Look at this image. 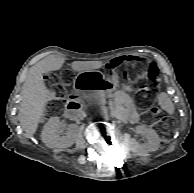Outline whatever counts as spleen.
<instances>
[{"mask_svg":"<svg viewBox=\"0 0 194 193\" xmlns=\"http://www.w3.org/2000/svg\"><path fill=\"white\" fill-rule=\"evenodd\" d=\"M159 104L169 114L174 113V105L166 93L163 92L159 95Z\"/></svg>","mask_w":194,"mask_h":193,"instance_id":"spleen-1","label":"spleen"}]
</instances>
